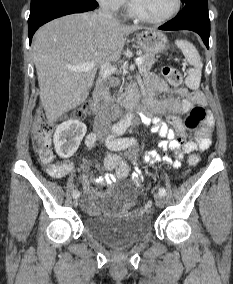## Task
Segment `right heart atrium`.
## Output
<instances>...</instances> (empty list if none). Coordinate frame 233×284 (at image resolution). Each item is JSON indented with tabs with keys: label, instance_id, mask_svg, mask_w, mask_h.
Segmentation results:
<instances>
[{
	"label": "right heart atrium",
	"instance_id": "1",
	"mask_svg": "<svg viewBox=\"0 0 233 284\" xmlns=\"http://www.w3.org/2000/svg\"><path fill=\"white\" fill-rule=\"evenodd\" d=\"M97 1L103 8L109 11H118L126 4V0H97Z\"/></svg>",
	"mask_w": 233,
	"mask_h": 284
}]
</instances>
